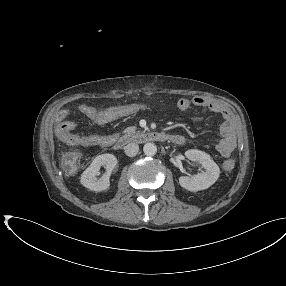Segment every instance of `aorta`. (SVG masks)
<instances>
[{
	"instance_id": "obj_1",
	"label": "aorta",
	"mask_w": 286,
	"mask_h": 286,
	"mask_svg": "<svg viewBox=\"0 0 286 286\" xmlns=\"http://www.w3.org/2000/svg\"><path fill=\"white\" fill-rule=\"evenodd\" d=\"M143 152L146 156H154L157 153V147L154 143H146L143 147Z\"/></svg>"
}]
</instances>
